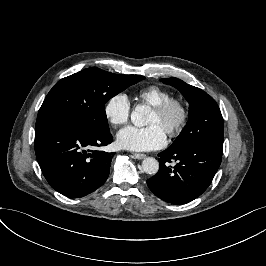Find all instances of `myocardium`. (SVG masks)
Returning <instances> with one entry per match:
<instances>
[{"label": "myocardium", "mask_w": 266, "mask_h": 266, "mask_svg": "<svg viewBox=\"0 0 266 266\" xmlns=\"http://www.w3.org/2000/svg\"><path fill=\"white\" fill-rule=\"evenodd\" d=\"M152 109L162 116L169 115L173 109L179 111V118L174 123L169 124L165 131L171 138L177 137L184 130L190 116L188 104L177 97H170L162 103L153 106Z\"/></svg>", "instance_id": "myocardium-1"}]
</instances>
